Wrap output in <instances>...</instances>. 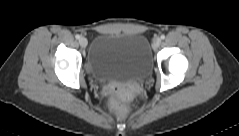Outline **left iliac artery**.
<instances>
[{
    "mask_svg": "<svg viewBox=\"0 0 239 136\" xmlns=\"http://www.w3.org/2000/svg\"><path fill=\"white\" fill-rule=\"evenodd\" d=\"M160 38L163 40L165 39V35H161Z\"/></svg>",
    "mask_w": 239,
    "mask_h": 136,
    "instance_id": "obj_1",
    "label": "left iliac artery"
}]
</instances>
